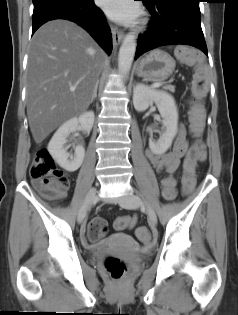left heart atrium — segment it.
I'll use <instances>...</instances> for the list:
<instances>
[{"label":"left heart atrium","instance_id":"39dd6f15","mask_svg":"<svg viewBox=\"0 0 238 315\" xmlns=\"http://www.w3.org/2000/svg\"><path fill=\"white\" fill-rule=\"evenodd\" d=\"M100 7L107 16L122 24L134 23L140 9L133 0H98Z\"/></svg>","mask_w":238,"mask_h":315}]
</instances>
